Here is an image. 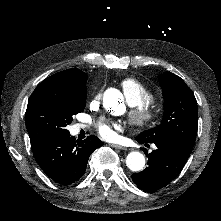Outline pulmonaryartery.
Here are the masks:
<instances>
[{
    "mask_svg": "<svg viewBox=\"0 0 221 221\" xmlns=\"http://www.w3.org/2000/svg\"><path fill=\"white\" fill-rule=\"evenodd\" d=\"M122 87L123 88L121 90V93H122L123 97L126 99H132L135 97V95L138 94L140 84L138 81H136L132 78H129L123 82ZM82 127L84 128L86 126L82 125Z\"/></svg>",
    "mask_w": 221,
    "mask_h": 221,
    "instance_id": "pulmonary-artery-1",
    "label": "pulmonary artery"
}]
</instances>
